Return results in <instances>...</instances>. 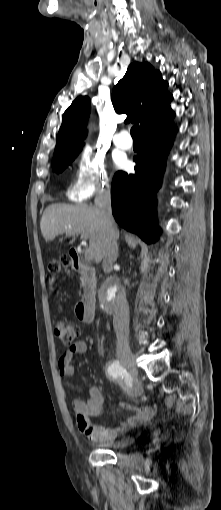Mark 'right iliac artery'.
<instances>
[{
  "mask_svg": "<svg viewBox=\"0 0 221 510\" xmlns=\"http://www.w3.org/2000/svg\"><path fill=\"white\" fill-rule=\"evenodd\" d=\"M108 373L113 378H125L127 376L126 369L119 363V361L115 360L108 366Z\"/></svg>",
  "mask_w": 221,
  "mask_h": 510,
  "instance_id": "right-iliac-artery-1",
  "label": "right iliac artery"
}]
</instances>
